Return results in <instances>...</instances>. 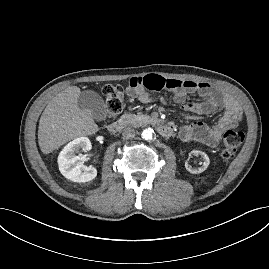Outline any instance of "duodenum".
<instances>
[{
	"label": "duodenum",
	"mask_w": 269,
	"mask_h": 269,
	"mask_svg": "<svg viewBox=\"0 0 269 269\" xmlns=\"http://www.w3.org/2000/svg\"><path fill=\"white\" fill-rule=\"evenodd\" d=\"M122 121H114L108 125V131L112 134L119 132L123 127ZM158 132L163 136H171L174 132V128L170 124H159L157 125Z\"/></svg>",
	"instance_id": "410a0bca"
}]
</instances>
